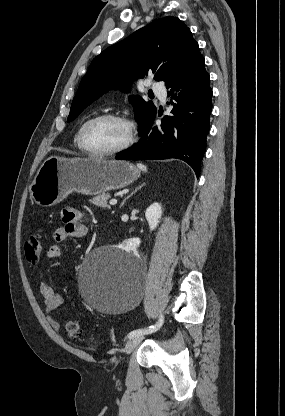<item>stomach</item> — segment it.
<instances>
[{"mask_svg":"<svg viewBox=\"0 0 285 416\" xmlns=\"http://www.w3.org/2000/svg\"><path fill=\"white\" fill-rule=\"evenodd\" d=\"M140 178L129 162L104 158H59L51 156L39 168L29 192L38 206H55L72 192L97 196L121 190Z\"/></svg>","mask_w":285,"mask_h":416,"instance_id":"1","label":"stomach"}]
</instances>
